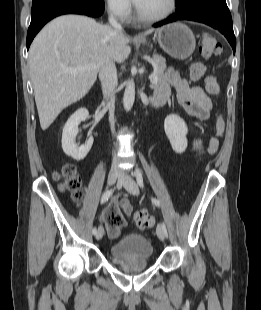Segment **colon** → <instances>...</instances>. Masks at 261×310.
<instances>
[{
    "mask_svg": "<svg viewBox=\"0 0 261 310\" xmlns=\"http://www.w3.org/2000/svg\"><path fill=\"white\" fill-rule=\"evenodd\" d=\"M222 47L219 41L210 32H203L199 43V51L204 57L217 56L221 53ZM206 72V66L200 61H195L190 66V78L193 81L200 79ZM205 87L208 94L216 96L220 89L214 76L209 75L205 79ZM224 132V122L221 117L216 121V135L221 137ZM54 178L60 181V188L70 194L74 201H80L82 198L81 179L77 174L76 167L73 164H64L60 171L54 174ZM119 200H109L106 204L103 221L112 235H117L122 227L127 226L119 206ZM135 225L140 228H148L154 224V219L145 210L135 212L133 216Z\"/></svg>",
    "mask_w": 261,
    "mask_h": 310,
    "instance_id": "5ec220e1",
    "label": "colon"
}]
</instances>
